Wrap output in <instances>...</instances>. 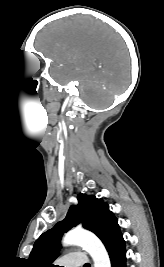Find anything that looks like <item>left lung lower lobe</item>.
Returning <instances> with one entry per match:
<instances>
[{
    "label": "left lung lower lobe",
    "mask_w": 164,
    "mask_h": 267,
    "mask_svg": "<svg viewBox=\"0 0 164 267\" xmlns=\"http://www.w3.org/2000/svg\"><path fill=\"white\" fill-rule=\"evenodd\" d=\"M104 245L109 253L111 266L126 267L125 241L119 227L106 239Z\"/></svg>",
    "instance_id": "0a47b994"
}]
</instances>
